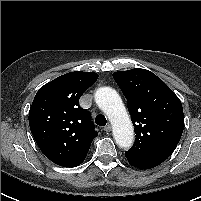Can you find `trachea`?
<instances>
[{"mask_svg": "<svg viewBox=\"0 0 201 201\" xmlns=\"http://www.w3.org/2000/svg\"><path fill=\"white\" fill-rule=\"evenodd\" d=\"M95 122L97 125L99 126H105L106 123H107V120L105 118L104 115L100 114V115H97L96 118H95Z\"/></svg>", "mask_w": 201, "mask_h": 201, "instance_id": "3493384b", "label": "trachea"}]
</instances>
